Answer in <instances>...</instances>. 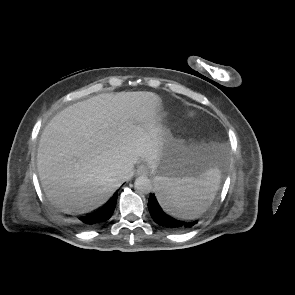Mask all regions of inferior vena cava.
<instances>
[{"label":"inferior vena cava","instance_id":"1","mask_svg":"<svg viewBox=\"0 0 295 295\" xmlns=\"http://www.w3.org/2000/svg\"><path fill=\"white\" fill-rule=\"evenodd\" d=\"M133 175V172H130L129 174L124 176V180L129 179Z\"/></svg>","mask_w":295,"mask_h":295}]
</instances>
